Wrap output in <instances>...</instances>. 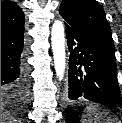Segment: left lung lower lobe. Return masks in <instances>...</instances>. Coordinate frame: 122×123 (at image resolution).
<instances>
[{
	"instance_id": "0a47b994",
	"label": "left lung lower lobe",
	"mask_w": 122,
	"mask_h": 123,
	"mask_svg": "<svg viewBox=\"0 0 122 123\" xmlns=\"http://www.w3.org/2000/svg\"><path fill=\"white\" fill-rule=\"evenodd\" d=\"M65 26L70 51L67 99H86L120 107L115 50L67 24Z\"/></svg>"
}]
</instances>
